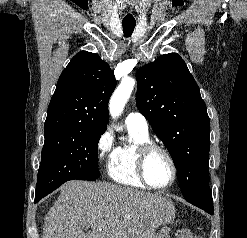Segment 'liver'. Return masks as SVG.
I'll use <instances>...</instances> for the list:
<instances>
[{"label": "liver", "instance_id": "obj_1", "mask_svg": "<svg viewBox=\"0 0 247 238\" xmlns=\"http://www.w3.org/2000/svg\"><path fill=\"white\" fill-rule=\"evenodd\" d=\"M175 207L161 195L108 182L72 180L46 214L43 238H153ZM91 227L85 233L84 229Z\"/></svg>", "mask_w": 247, "mask_h": 238}]
</instances>
